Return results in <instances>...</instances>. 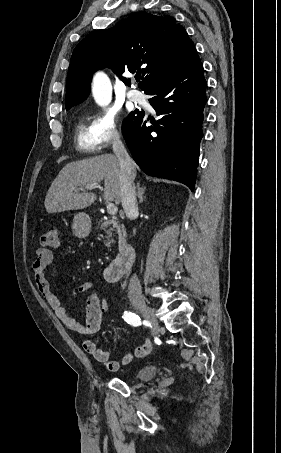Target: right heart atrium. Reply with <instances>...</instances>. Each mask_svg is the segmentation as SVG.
<instances>
[{"mask_svg":"<svg viewBox=\"0 0 281 453\" xmlns=\"http://www.w3.org/2000/svg\"><path fill=\"white\" fill-rule=\"evenodd\" d=\"M92 91L96 100L98 97L107 94L105 84L98 81L96 77H94L92 82ZM91 125L101 145L105 148L115 145L122 137L121 123L117 115L111 110L106 109L98 111L95 114ZM100 161L104 171L108 175L118 173L120 165L112 156L106 153L101 156Z\"/></svg>","mask_w":281,"mask_h":453,"instance_id":"d8ad5b80","label":"right heart atrium"}]
</instances>
